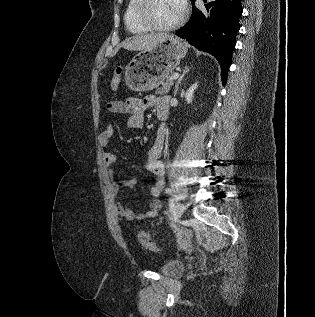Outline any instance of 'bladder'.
I'll list each match as a JSON object with an SVG mask.
<instances>
[{
	"mask_svg": "<svg viewBox=\"0 0 315 317\" xmlns=\"http://www.w3.org/2000/svg\"><path fill=\"white\" fill-rule=\"evenodd\" d=\"M185 265L181 260H170L160 267V272L167 276H176L181 274Z\"/></svg>",
	"mask_w": 315,
	"mask_h": 317,
	"instance_id": "1",
	"label": "bladder"
}]
</instances>
